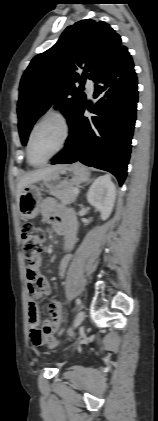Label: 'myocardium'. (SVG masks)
Segmentation results:
<instances>
[{
  "instance_id": "obj_1",
  "label": "myocardium",
  "mask_w": 158,
  "mask_h": 421,
  "mask_svg": "<svg viewBox=\"0 0 158 421\" xmlns=\"http://www.w3.org/2000/svg\"><path fill=\"white\" fill-rule=\"evenodd\" d=\"M46 121H56L60 124L61 128H62V139H61V143L59 145V147L48 157L46 158L44 161L40 162V163H34L31 160V156H30V145H31V140L33 137V134L35 132V130L44 122ZM70 133H71V128H70V124L69 121L67 119V117L65 115H63L62 113L59 112H48L46 114H44L43 116H41L32 126L28 138H27V143H26V154H27V159L29 161V163L33 166H42L45 165L46 163H48L52 158H54L56 155H58L66 146L69 137H70Z\"/></svg>"
}]
</instances>
